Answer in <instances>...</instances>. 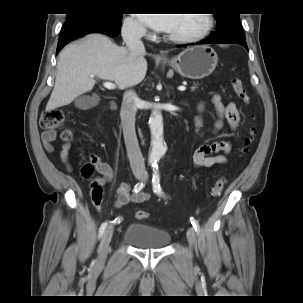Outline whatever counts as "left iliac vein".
<instances>
[{
	"instance_id": "1",
	"label": "left iliac vein",
	"mask_w": 303,
	"mask_h": 303,
	"mask_svg": "<svg viewBox=\"0 0 303 303\" xmlns=\"http://www.w3.org/2000/svg\"><path fill=\"white\" fill-rule=\"evenodd\" d=\"M187 239H188L189 244L191 246H193L196 241V233H195V229L193 227L188 228Z\"/></svg>"
}]
</instances>
